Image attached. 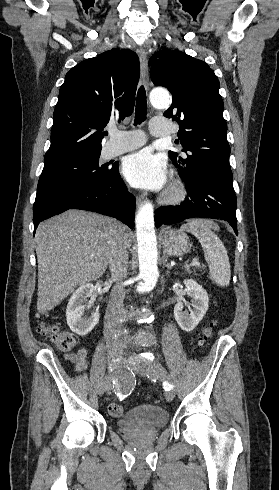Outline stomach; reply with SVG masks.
<instances>
[{
    "mask_svg": "<svg viewBox=\"0 0 279 490\" xmlns=\"http://www.w3.org/2000/svg\"><path fill=\"white\" fill-rule=\"evenodd\" d=\"M162 246L167 256H184L191 250L190 240L182 230H162Z\"/></svg>",
    "mask_w": 279,
    "mask_h": 490,
    "instance_id": "1",
    "label": "stomach"
}]
</instances>
